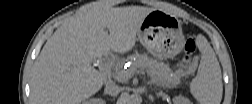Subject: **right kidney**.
<instances>
[{"instance_id": "obj_1", "label": "right kidney", "mask_w": 252, "mask_h": 104, "mask_svg": "<svg viewBox=\"0 0 252 104\" xmlns=\"http://www.w3.org/2000/svg\"><path fill=\"white\" fill-rule=\"evenodd\" d=\"M86 104H105V101L100 98H92L85 102Z\"/></svg>"}]
</instances>
